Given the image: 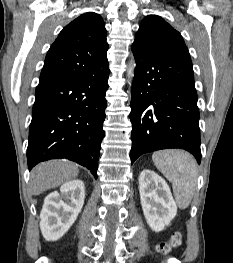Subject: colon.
Instances as JSON below:
<instances>
[{
  "label": "colon",
  "instance_id": "1",
  "mask_svg": "<svg viewBox=\"0 0 233 263\" xmlns=\"http://www.w3.org/2000/svg\"><path fill=\"white\" fill-rule=\"evenodd\" d=\"M182 242V235L179 232L174 233L168 241L160 242L155 247L156 256H162L172 249L179 247Z\"/></svg>",
  "mask_w": 233,
  "mask_h": 263
}]
</instances>
